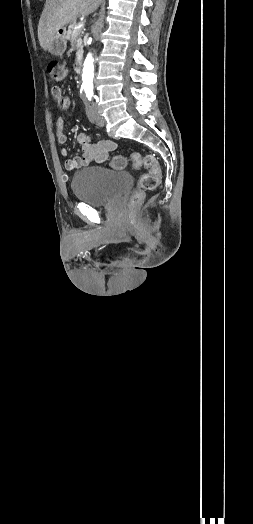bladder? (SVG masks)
Instances as JSON below:
<instances>
[{
    "mask_svg": "<svg viewBox=\"0 0 253 524\" xmlns=\"http://www.w3.org/2000/svg\"><path fill=\"white\" fill-rule=\"evenodd\" d=\"M132 184L129 173L91 166L75 172L72 191L77 200L91 206H103L121 196Z\"/></svg>",
    "mask_w": 253,
    "mask_h": 524,
    "instance_id": "1",
    "label": "bladder"
}]
</instances>
